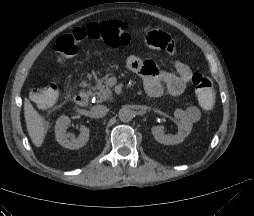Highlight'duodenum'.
<instances>
[{"mask_svg":"<svg viewBox=\"0 0 254 216\" xmlns=\"http://www.w3.org/2000/svg\"><path fill=\"white\" fill-rule=\"evenodd\" d=\"M74 100L79 106H86L89 101V96L86 92H79L75 95Z\"/></svg>","mask_w":254,"mask_h":216,"instance_id":"1","label":"duodenum"}]
</instances>
